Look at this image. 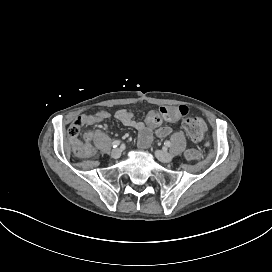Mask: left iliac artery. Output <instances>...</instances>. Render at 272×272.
<instances>
[{
    "mask_svg": "<svg viewBox=\"0 0 272 272\" xmlns=\"http://www.w3.org/2000/svg\"><path fill=\"white\" fill-rule=\"evenodd\" d=\"M164 145H165L166 147H170V146H171V142H170V141H165V142H164Z\"/></svg>",
    "mask_w": 272,
    "mask_h": 272,
    "instance_id": "left-iliac-artery-1",
    "label": "left iliac artery"
}]
</instances>
